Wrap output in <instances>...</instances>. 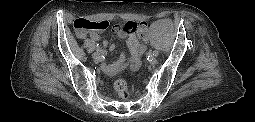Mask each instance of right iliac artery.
Masks as SVG:
<instances>
[{"label":"right iliac artery","mask_w":255,"mask_h":122,"mask_svg":"<svg viewBox=\"0 0 255 122\" xmlns=\"http://www.w3.org/2000/svg\"><path fill=\"white\" fill-rule=\"evenodd\" d=\"M101 52H102V50L100 48H98L97 51L92 54V56L94 57V55H96V54H101Z\"/></svg>","instance_id":"1"}]
</instances>
